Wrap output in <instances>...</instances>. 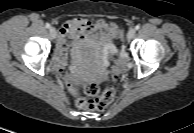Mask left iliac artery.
I'll return each instance as SVG.
<instances>
[{"mask_svg": "<svg viewBox=\"0 0 194 133\" xmlns=\"http://www.w3.org/2000/svg\"><path fill=\"white\" fill-rule=\"evenodd\" d=\"M135 29H136V30H139V29H140V25H136V26H135Z\"/></svg>", "mask_w": 194, "mask_h": 133, "instance_id": "1", "label": "left iliac artery"}]
</instances>
